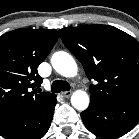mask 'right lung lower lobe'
<instances>
[{
    "label": "right lung lower lobe",
    "instance_id": "obj_1",
    "mask_svg": "<svg viewBox=\"0 0 139 139\" xmlns=\"http://www.w3.org/2000/svg\"><path fill=\"white\" fill-rule=\"evenodd\" d=\"M56 103L55 96L35 112L0 128V135L6 139H41L51 125Z\"/></svg>",
    "mask_w": 139,
    "mask_h": 139
}]
</instances>
